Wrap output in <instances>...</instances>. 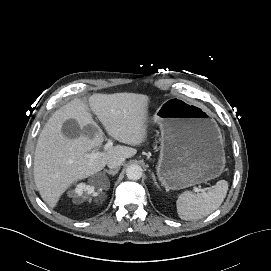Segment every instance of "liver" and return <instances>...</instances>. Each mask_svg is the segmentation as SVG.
Masks as SVG:
<instances>
[{
    "instance_id": "1",
    "label": "liver",
    "mask_w": 271,
    "mask_h": 271,
    "mask_svg": "<svg viewBox=\"0 0 271 271\" xmlns=\"http://www.w3.org/2000/svg\"><path fill=\"white\" fill-rule=\"evenodd\" d=\"M148 101L147 96L134 93L94 94L89 105L75 99L52 115L38 138L33 169L36 187L49 207L54 208L74 182L101 171L110 159L130 158L137 153L132 147L117 145L90 161L86 154L103 143V133L95 131L93 136L81 133L70 139L62 133L64 122L73 119L81 130L95 126L90 107L111 137L139 146L147 138Z\"/></svg>"
}]
</instances>
